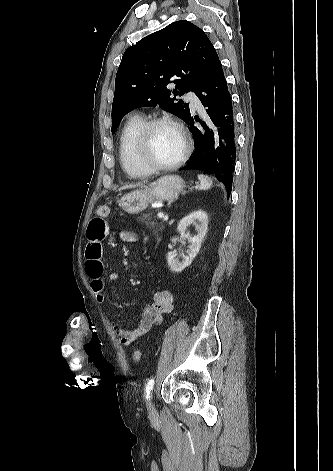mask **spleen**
Listing matches in <instances>:
<instances>
[{"label": "spleen", "mask_w": 333, "mask_h": 471, "mask_svg": "<svg viewBox=\"0 0 333 471\" xmlns=\"http://www.w3.org/2000/svg\"><path fill=\"white\" fill-rule=\"evenodd\" d=\"M199 184L197 189L199 190H208L212 187V180L203 174L198 175Z\"/></svg>", "instance_id": "spleen-1"}]
</instances>
